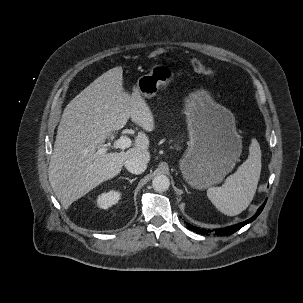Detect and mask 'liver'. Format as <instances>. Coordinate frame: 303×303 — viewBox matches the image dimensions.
<instances>
[{
    "label": "liver",
    "mask_w": 303,
    "mask_h": 303,
    "mask_svg": "<svg viewBox=\"0 0 303 303\" xmlns=\"http://www.w3.org/2000/svg\"><path fill=\"white\" fill-rule=\"evenodd\" d=\"M123 70L103 73L65 107L48 168L50 185L64 209L99 184L117 176L125 161L141 157L148 162L149 139L139 132L127 151L97 154L112 132L129 118L145 131L154 130L153 114L137 87H122Z\"/></svg>",
    "instance_id": "liver-1"
}]
</instances>
